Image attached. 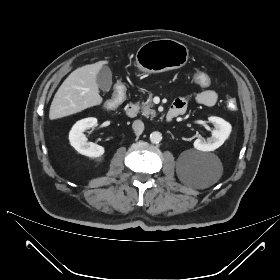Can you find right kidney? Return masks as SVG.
<instances>
[{
	"label": "right kidney",
	"mask_w": 280,
	"mask_h": 280,
	"mask_svg": "<svg viewBox=\"0 0 280 280\" xmlns=\"http://www.w3.org/2000/svg\"><path fill=\"white\" fill-rule=\"evenodd\" d=\"M96 124V118H85L76 122L69 133L70 144L75 148V150L82 155L92 158L101 157L105 152L102 146L93 142H88L86 136L83 134L86 129H90Z\"/></svg>",
	"instance_id": "right-kidney-1"
}]
</instances>
